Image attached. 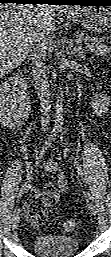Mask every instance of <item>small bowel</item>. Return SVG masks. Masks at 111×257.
Wrapping results in <instances>:
<instances>
[{
  "mask_svg": "<svg viewBox=\"0 0 111 257\" xmlns=\"http://www.w3.org/2000/svg\"><path fill=\"white\" fill-rule=\"evenodd\" d=\"M44 168L48 173H58L59 176L56 182H47L44 185L42 194L34 193L25 205V219L34 227L40 226L45 222L46 210L57 203L67 188V181L55 161H46Z\"/></svg>",
  "mask_w": 111,
  "mask_h": 257,
  "instance_id": "obj_1",
  "label": "small bowel"
}]
</instances>
